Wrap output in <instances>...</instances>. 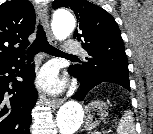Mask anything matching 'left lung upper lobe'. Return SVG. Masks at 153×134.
<instances>
[{"label":"left lung upper lobe","instance_id":"obj_1","mask_svg":"<svg viewBox=\"0 0 153 134\" xmlns=\"http://www.w3.org/2000/svg\"><path fill=\"white\" fill-rule=\"evenodd\" d=\"M70 8L79 22L74 38L81 41L88 57L70 68L85 79L129 87L127 56L119 27L103 8L87 0H55L53 9Z\"/></svg>","mask_w":153,"mask_h":134}]
</instances>
